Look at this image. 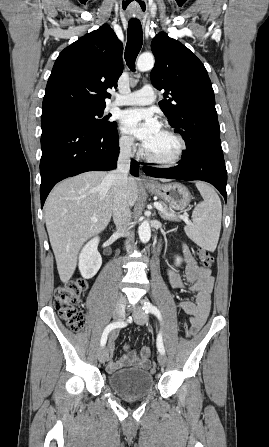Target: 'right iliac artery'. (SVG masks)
I'll list each match as a JSON object with an SVG mask.
<instances>
[{"instance_id":"obj_1","label":"right iliac artery","mask_w":269,"mask_h":447,"mask_svg":"<svg viewBox=\"0 0 269 447\" xmlns=\"http://www.w3.org/2000/svg\"><path fill=\"white\" fill-rule=\"evenodd\" d=\"M125 325L126 324L122 321L110 323L103 331L101 341H100L101 346L103 347L106 344L107 336L111 330H113L114 328H117V327H123Z\"/></svg>"}]
</instances>
